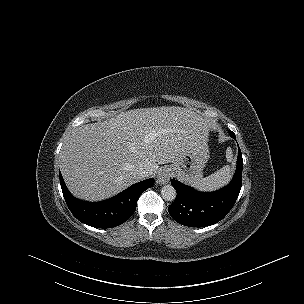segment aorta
<instances>
[{
	"instance_id": "aorta-1",
	"label": "aorta",
	"mask_w": 304,
	"mask_h": 304,
	"mask_svg": "<svg viewBox=\"0 0 304 304\" xmlns=\"http://www.w3.org/2000/svg\"><path fill=\"white\" fill-rule=\"evenodd\" d=\"M176 194L175 188L171 185H164L161 189V196L165 201H174Z\"/></svg>"
}]
</instances>
